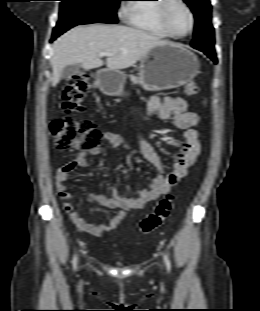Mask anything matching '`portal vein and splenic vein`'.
Segmentation results:
<instances>
[{
	"mask_svg": "<svg viewBox=\"0 0 260 311\" xmlns=\"http://www.w3.org/2000/svg\"><path fill=\"white\" fill-rule=\"evenodd\" d=\"M114 54L113 53H109V52H101L99 53V56L100 57H104V56H113Z\"/></svg>",
	"mask_w": 260,
	"mask_h": 311,
	"instance_id": "obj_1",
	"label": "portal vein and splenic vein"
}]
</instances>
